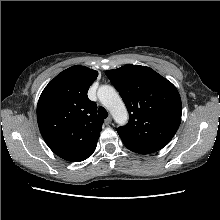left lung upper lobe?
Here are the masks:
<instances>
[{
    "label": "left lung upper lobe",
    "mask_w": 220,
    "mask_h": 220,
    "mask_svg": "<svg viewBox=\"0 0 220 220\" xmlns=\"http://www.w3.org/2000/svg\"><path fill=\"white\" fill-rule=\"evenodd\" d=\"M105 74L129 112L128 124L117 129L124 145L139 154L167 145L181 122L182 103L176 87L146 66L128 64Z\"/></svg>",
    "instance_id": "5c2ea615"
}]
</instances>
